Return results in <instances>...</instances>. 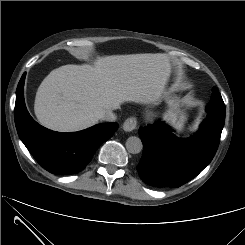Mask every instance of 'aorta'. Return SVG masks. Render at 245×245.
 <instances>
[{
	"label": "aorta",
	"instance_id": "aorta-1",
	"mask_svg": "<svg viewBox=\"0 0 245 245\" xmlns=\"http://www.w3.org/2000/svg\"><path fill=\"white\" fill-rule=\"evenodd\" d=\"M126 149L129 153L138 154L143 149V144L140 138L131 136L126 141Z\"/></svg>",
	"mask_w": 245,
	"mask_h": 245
}]
</instances>
